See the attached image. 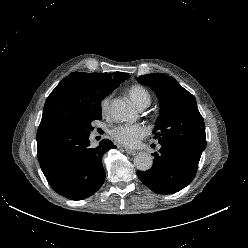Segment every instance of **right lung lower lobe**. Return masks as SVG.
<instances>
[{"label":"right lung lower lobe","mask_w":248,"mask_h":248,"mask_svg":"<svg viewBox=\"0 0 248 248\" xmlns=\"http://www.w3.org/2000/svg\"><path fill=\"white\" fill-rule=\"evenodd\" d=\"M89 135L60 127L37 139V156L48 183L71 200L90 197L102 186L105 180L102 155L116 148L108 139L91 148Z\"/></svg>","instance_id":"98d812e1"}]
</instances>
